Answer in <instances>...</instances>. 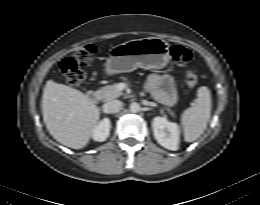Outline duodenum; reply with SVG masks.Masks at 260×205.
Listing matches in <instances>:
<instances>
[{
    "mask_svg": "<svg viewBox=\"0 0 260 205\" xmlns=\"http://www.w3.org/2000/svg\"><path fill=\"white\" fill-rule=\"evenodd\" d=\"M86 97H87L88 101L95 103L99 99V93L95 90H90L87 92Z\"/></svg>",
    "mask_w": 260,
    "mask_h": 205,
    "instance_id": "1",
    "label": "duodenum"
}]
</instances>
